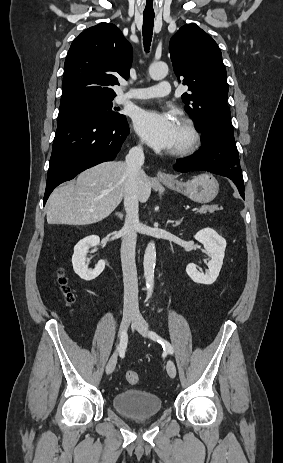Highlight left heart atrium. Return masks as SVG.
I'll return each mask as SVG.
<instances>
[{"instance_id":"1","label":"left heart atrium","mask_w":283,"mask_h":463,"mask_svg":"<svg viewBox=\"0 0 283 463\" xmlns=\"http://www.w3.org/2000/svg\"><path fill=\"white\" fill-rule=\"evenodd\" d=\"M134 126L137 133L152 148H173L177 123L170 115L155 110H140L135 116Z\"/></svg>"}]
</instances>
